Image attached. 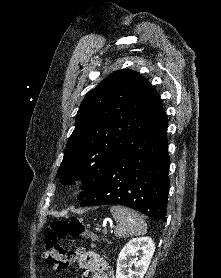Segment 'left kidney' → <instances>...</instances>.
<instances>
[{
	"instance_id": "left-kidney-1",
	"label": "left kidney",
	"mask_w": 221,
	"mask_h": 278,
	"mask_svg": "<svg viewBox=\"0 0 221 278\" xmlns=\"http://www.w3.org/2000/svg\"><path fill=\"white\" fill-rule=\"evenodd\" d=\"M155 243L150 237H137L131 239L121 250L117 259L116 278H143L146 273L153 253ZM140 256V259L131 256ZM135 266V270H132ZM128 268V269H127Z\"/></svg>"
}]
</instances>
